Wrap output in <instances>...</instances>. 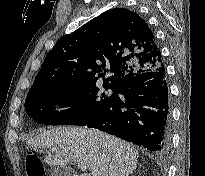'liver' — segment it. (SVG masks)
Instances as JSON below:
<instances>
[{"mask_svg": "<svg viewBox=\"0 0 205 176\" xmlns=\"http://www.w3.org/2000/svg\"><path fill=\"white\" fill-rule=\"evenodd\" d=\"M26 144L48 149L44 162L50 166L66 167L71 162L85 165L91 173L81 176H129L137 166L134 146L95 129L58 127Z\"/></svg>", "mask_w": 205, "mask_h": 176, "instance_id": "6515ba94", "label": "liver"}]
</instances>
